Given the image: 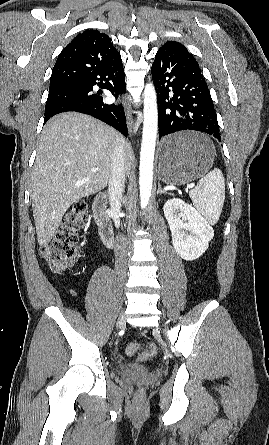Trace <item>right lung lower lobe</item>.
<instances>
[{
  "instance_id": "98d812e1",
  "label": "right lung lower lobe",
  "mask_w": 269,
  "mask_h": 445,
  "mask_svg": "<svg viewBox=\"0 0 269 445\" xmlns=\"http://www.w3.org/2000/svg\"><path fill=\"white\" fill-rule=\"evenodd\" d=\"M80 89L70 99L58 103L45 113L44 123L52 116L67 111L91 115L120 131L127 137V125L122 105L105 104L103 97L92 94L93 86L109 90L116 98L125 94L126 83L121 58L87 75L80 83Z\"/></svg>"
}]
</instances>
